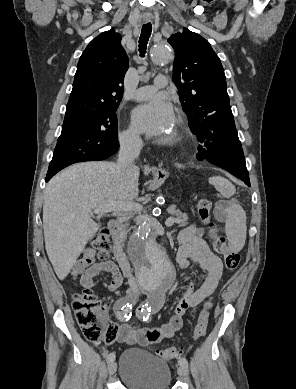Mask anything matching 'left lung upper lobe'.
Here are the masks:
<instances>
[{
	"label": "left lung upper lobe",
	"mask_w": 296,
	"mask_h": 389,
	"mask_svg": "<svg viewBox=\"0 0 296 389\" xmlns=\"http://www.w3.org/2000/svg\"><path fill=\"white\" fill-rule=\"evenodd\" d=\"M168 42L175 50L173 81L190 130L198 138L206 117L230 107L224 69L210 43L187 28L172 35Z\"/></svg>",
	"instance_id": "left-lung-upper-lobe-1"
}]
</instances>
